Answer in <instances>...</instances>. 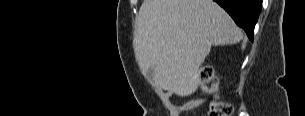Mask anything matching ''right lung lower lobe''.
Instances as JSON below:
<instances>
[{"label":"right lung lower lobe","instance_id":"1","mask_svg":"<svg viewBox=\"0 0 305 116\" xmlns=\"http://www.w3.org/2000/svg\"><path fill=\"white\" fill-rule=\"evenodd\" d=\"M224 8L253 41L254 27L262 8V0H214Z\"/></svg>","mask_w":305,"mask_h":116}]
</instances>
